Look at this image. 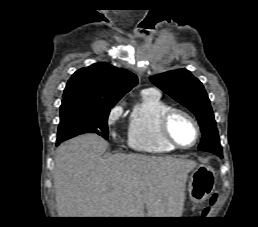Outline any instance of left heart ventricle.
Returning a JSON list of instances; mask_svg holds the SVG:
<instances>
[{
	"mask_svg": "<svg viewBox=\"0 0 258 227\" xmlns=\"http://www.w3.org/2000/svg\"><path fill=\"white\" fill-rule=\"evenodd\" d=\"M170 131L175 140L184 146L192 144L196 137L193 124L182 115H175L172 118Z\"/></svg>",
	"mask_w": 258,
	"mask_h": 227,
	"instance_id": "obj_1",
	"label": "left heart ventricle"
}]
</instances>
